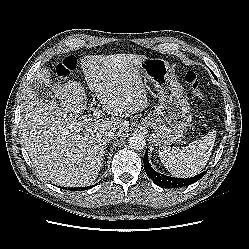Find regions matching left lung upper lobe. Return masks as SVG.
Returning <instances> with one entry per match:
<instances>
[{
	"label": "left lung upper lobe",
	"instance_id": "left-lung-upper-lobe-1",
	"mask_svg": "<svg viewBox=\"0 0 249 249\" xmlns=\"http://www.w3.org/2000/svg\"><path fill=\"white\" fill-rule=\"evenodd\" d=\"M213 74V76L216 78V76L214 75V73H212ZM217 79V78H216Z\"/></svg>",
	"mask_w": 249,
	"mask_h": 249
}]
</instances>
